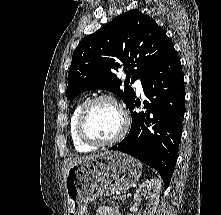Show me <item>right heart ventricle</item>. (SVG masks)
<instances>
[{
	"instance_id": "e07e8e85",
	"label": "right heart ventricle",
	"mask_w": 221,
	"mask_h": 215,
	"mask_svg": "<svg viewBox=\"0 0 221 215\" xmlns=\"http://www.w3.org/2000/svg\"><path fill=\"white\" fill-rule=\"evenodd\" d=\"M82 105H83V102H79L76 104V106L72 110L70 120H69V133H70L71 141L75 150L81 153H85V152H89L93 150L94 147L82 142L77 135L76 119H77L78 112Z\"/></svg>"
}]
</instances>
